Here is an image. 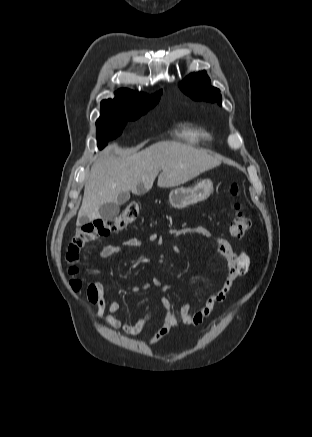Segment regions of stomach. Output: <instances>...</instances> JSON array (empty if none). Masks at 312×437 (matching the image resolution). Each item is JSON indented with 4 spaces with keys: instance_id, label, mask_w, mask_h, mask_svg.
<instances>
[{
    "instance_id": "obj_1",
    "label": "stomach",
    "mask_w": 312,
    "mask_h": 437,
    "mask_svg": "<svg viewBox=\"0 0 312 437\" xmlns=\"http://www.w3.org/2000/svg\"><path fill=\"white\" fill-rule=\"evenodd\" d=\"M213 192V183L205 179L192 187H179L170 191L169 203L175 209H184L206 200Z\"/></svg>"
}]
</instances>
